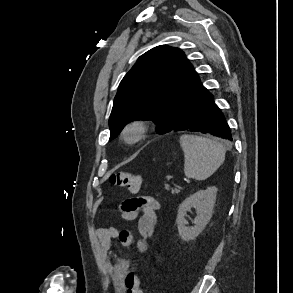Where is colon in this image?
<instances>
[{"label": "colon", "mask_w": 293, "mask_h": 293, "mask_svg": "<svg viewBox=\"0 0 293 293\" xmlns=\"http://www.w3.org/2000/svg\"><path fill=\"white\" fill-rule=\"evenodd\" d=\"M109 181L112 185L128 189L137 193L142 186L141 176L130 171L114 172L110 175ZM126 293H144L140 287V278L135 271L128 273L125 279Z\"/></svg>", "instance_id": "1"}]
</instances>
